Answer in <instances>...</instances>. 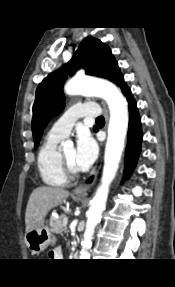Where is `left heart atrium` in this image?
<instances>
[{
  "label": "left heart atrium",
  "instance_id": "left-heart-atrium-1",
  "mask_svg": "<svg viewBox=\"0 0 175 287\" xmlns=\"http://www.w3.org/2000/svg\"><path fill=\"white\" fill-rule=\"evenodd\" d=\"M98 155V146L92 135L87 130H81L78 133L75 157L80 170L88 169L96 160Z\"/></svg>",
  "mask_w": 175,
  "mask_h": 287
}]
</instances>
